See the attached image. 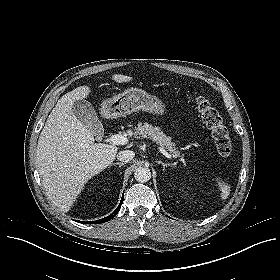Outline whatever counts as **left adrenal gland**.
I'll return each mask as SVG.
<instances>
[{
    "mask_svg": "<svg viewBox=\"0 0 280 280\" xmlns=\"http://www.w3.org/2000/svg\"><path fill=\"white\" fill-rule=\"evenodd\" d=\"M158 164H161L163 166V170H165V167L174 165L173 163H164L162 161H156Z\"/></svg>",
    "mask_w": 280,
    "mask_h": 280,
    "instance_id": "left-adrenal-gland-1",
    "label": "left adrenal gland"
}]
</instances>
